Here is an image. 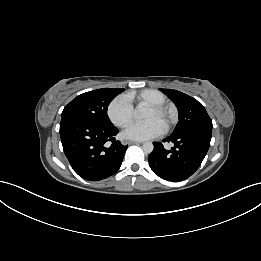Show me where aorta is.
Returning a JSON list of instances; mask_svg holds the SVG:
<instances>
[{
  "instance_id": "obj_1",
  "label": "aorta",
  "mask_w": 261,
  "mask_h": 261,
  "mask_svg": "<svg viewBox=\"0 0 261 261\" xmlns=\"http://www.w3.org/2000/svg\"><path fill=\"white\" fill-rule=\"evenodd\" d=\"M136 116L140 117L141 116V111L137 110L136 111ZM142 149L145 153H151L154 149L153 143L151 142H145L142 146Z\"/></svg>"
}]
</instances>
